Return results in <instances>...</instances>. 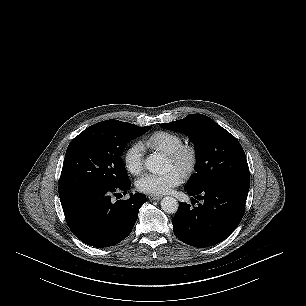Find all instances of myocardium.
I'll return each instance as SVG.
<instances>
[{
    "label": "myocardium",
    "instance_id": "1",
    "mask_svg": "<svg viewBox=\"0 0 306 306\" xmlns=\"http://www.w3.org/2000/svg\"><path fill=\"white\" fill-rule=\"evenodd\" d=\"M167 156L181 168V173L186 178L195 172L199 163L198 151L193 144L189 143H183Z\"/></svg>",
    "mask_w": 306,
    "mask_h": 306
}]
</instances>
